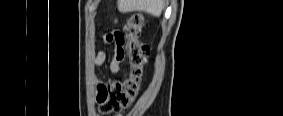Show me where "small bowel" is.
I'll list each match as a JSON object with an SVG mask.
<instances>
[{"label":"small bowel","instance_id":"small-bowel-1","mask_svg":"<svg viewBox=\"0 0 283 116\" xmlns=\"http://www.w3.org/2000/svg\"><path fill=\"white\" fill-rule=\"evenodd\" d=\"M117 23V20H115ZM101 40L104 45H108L112 42L116 43V53L110 61L109 70L112 74H117L120 71V65L123 60L124 50L123 45L119 40L118 31L113 33H104L101 35ZM106 61V52L103 49L98 50L93 63L95 66H102Z\"/></svg>","mask_w":283,"mask_h":116}]
</instances>
